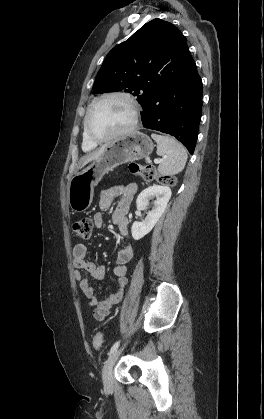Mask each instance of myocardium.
<instances>
[{
  "mask_svg": "<svg viewBox=\"0 0 264 419\" xmlns=\"http://www.w3.org/2000/svg\"><path fill=\"white\" fill-rule=\"evenodd\" d=\"M111 97H121L124 98L125 100H127L131 107H132V121L130 123V125L128 127H126L125 129L112 134L110 136L107 137H97L95 135L92 134L90 127H89V119L91 116V113L94 109V107L101 101L107 99V98H111ZM139 118H140V105L137 102V100L128 92L125 91H111V92H107L104 93L102 95H100L99 97H97L95 100H93V102L90 104L87 113L85 115L84 118V132L87 136V138L95 143V144H100V143H106V142H110L113 140H117L119 138L125 137L129 134H131L138 126L139 123Z\"/></svg>",
  "mask_w": 264,
  "mask_h": 419,
  "instance_id": "1",
  "label": "myocardium"
}]
</instances>
